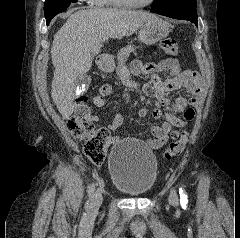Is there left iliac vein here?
I'll use <instances>...</instances> for the list:
<instances>
[{"label": "left iliac vein", "mask_w": 240, "mask_h": 238, "mask_svg": "<svg viewBox=\"0 0 240 238\" xmlns=\"http://www.w3.org/2000/svg\"><path fill=\"white\" fill-rule=\"evenodd\" d=\"M178 202H179L178 195H177L176 191L174 189H172L170 192V196H169V203L172 206H177Z\"/></svg>", "instance_id": "obj_1"}]
</instances>
